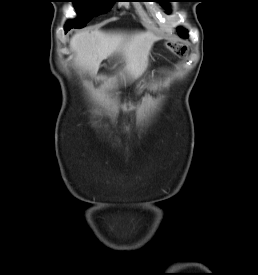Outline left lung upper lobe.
Masks as SVG:
<instances>
[{
    "label": "left lung upper lobe",
    "instance_id": "5c2ea615",
    "mask_svg": "<svg viewBox=\"0 0 258 275\" xmlns=\"http://www.w3.org/2000/svg\"><path fill=\"white\" fill-rule=\"evenodd\" d=\"M168 1H170V0H162L161 3H166V2H168ZM164 7L167 8L166 5H164ZM177 32H178V34H179L180 37H182V36H184V35L187 34V32H186L185 30H183V29H178ZM187 35H188V34H187Z\"/></svg>",
    "mask_w": 258,
    "mask_h": 275
}]
</instances>
